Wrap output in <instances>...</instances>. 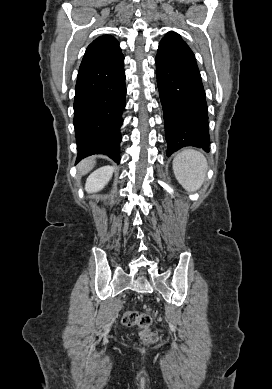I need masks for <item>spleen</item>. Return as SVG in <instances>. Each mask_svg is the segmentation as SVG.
I'll use <instances>...</instances> for the list:
<instances>
[{
  "mask_svg": "<svg viewBox=\"0 0 272 389\" xmlns=\"http://www.w3.org/2000/svg\"><path fill=\"white\" fill-rule=\"evenodd\" d=\"M205 156L194 149H184L173 160V172L182 185L188 191H196L204 182L207 171Z\"/></svg>",
  "mask_w": 272,
  "mask_h": 389,
  "instance_id": "1",
  "label": "spleen"
}]
</instances>
